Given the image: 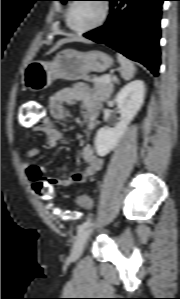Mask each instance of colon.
Segmentation results:
<instances>
[{"instance_id":"obj_1","label":"colon","mask_w":180,"mask_h":299,"mask_svg":"<svg viewBox=\"0 0 180 299\" xmlns=\"http://www.w3.org/2000/svg\"><path fill=\"white\" fill-rule=\"evenodd\" d=\"M45 117L46 110L41 104H26L22 108L20 123L23 126H31L41 122L45 119ZM33 190L36 193V195L43 201H50L54 196L53 184L51 183H43L41 181H37L33 183ZM79 205L83 208L88 207L89 199L85 196L81 197L79 199ZM57 215L65 220H75L79 217V213L77 211L70 212L58 210Z\"/></svg>"}]
</instances>
